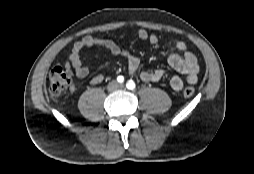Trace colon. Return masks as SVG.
Returning a JSON list of instances; mask_svg holds the SVG:
<instances>
[{
  "label": "colon",
  "mask_w": 254,
  "mask_h": 174,
  "mask_svg": "<svg viewBox=\"0 0 254 174\" xmlns=\"http://www.w3.org/2000/svg\"><path fill=\"white\" fill-rule=\"evenodd\" d=\"M72 72L69 68L57 64L53 67L49 75V93L53 98L59 97L61 94L67 91L71 83ZM185 97H191L194 95V89L192 87H186L183 90Z\"/></svg>",
  "instance_id": "obj_1"
}]
</instances>
